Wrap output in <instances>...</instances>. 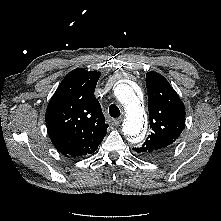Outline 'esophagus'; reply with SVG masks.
<instances>
[{
    "label": "esophagus",
    "mask_w": 221,
    "mask_h": 221,
    "mask_svg": "<svg viewBox=\"0 0 221 221\" xmlns=\"http://www.w3.org/2000/svg\"><path fill=\"white\" fill-rule=\"evenodd\" d=\"M123 121L122 118H117L112 121V125L118 126Z\"/></svg>",
    "instance_id": "1"
}]
</instances>
